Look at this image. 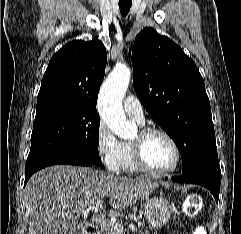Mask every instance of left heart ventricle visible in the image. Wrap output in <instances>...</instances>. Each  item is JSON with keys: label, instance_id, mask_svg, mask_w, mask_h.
<instances>
[{"label": "left heart ventricle", "instance_id": "left-heart-ventricle-1", "mask_svg": "<svg viewBox=\"0 0 241 234\" xmlns=\"http://www.w3.org/2000/svg\"><path fill=\"white\" fill-rule=\"evenodd\" d=\"M139 133L133 141L138 140ZM144 157L147 164L155 170H166L175 161V151L171 143L162 135L154 134L147 138L144 145Z\"/></svg>", "mask_w": 241, "mask_h": 234}]
</instances>
